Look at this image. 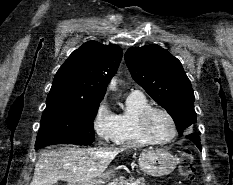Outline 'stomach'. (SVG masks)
<instances>
[{"label":"stomach","instance_id":"stomach-1","mask_svg":"<svg viewBox=\"0 0 233 185\" xmlns=\"http://www.w3.org/2000/svg\"><path fill=\"white\" fill-rule=\"evenodd\" d=\"M176 158L169 152L164 150L150 151L139 156V167L141 170L152 176H164L171 173L176 167ZM106 175L98 179L86 182H78L72 185H100Z\"/></svg>","mask_w":233,"mask_h":185}]
</instances>
